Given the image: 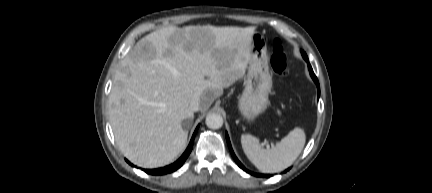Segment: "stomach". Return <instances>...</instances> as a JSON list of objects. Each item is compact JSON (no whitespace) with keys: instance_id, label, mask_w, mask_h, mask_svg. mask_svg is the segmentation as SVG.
<instances>
[{"instance_id":"obj_1","label":"stomach","mask_w":432,"mask_h":193,"mask_svg":"<svg viewBox=\"0 0 432 193\" xmlns=\"http://www.w3.org/2000/svg\"><path fill=\"white\" fill-rule=\"evenodd\" d=\"M271 88L267 43L263 34L254 32L245 89L238 99V110L246 120L253 121L266 110Z\"/></svg>"}]
</instances>
